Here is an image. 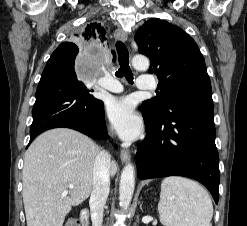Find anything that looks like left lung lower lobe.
<instances>
[{
    "label": "left lung lower lobe",
    "instance_id": "obj_1",
    "mask_svg": "<svg viewBox=\"0 0 247 226\" xmlns=\"http://www.w3.org/2000/svg\"><path fill=\"white\" fill-rule=\"evenodd\" d=\"M143 118L147 135L137 151L138 178L189 177L202 183L217 204L220 172L212 95H189L174 101L163 117Z\"/></svg>",
    "mask_w": 247,
    "mask_h": 226
}]
</instances>
